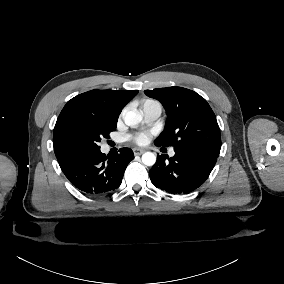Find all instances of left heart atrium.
<instances>
[{
    "mask_svg": "<svg viewBox=\"0 0 284 284\" xmlns=\"http://www.w3.org/2000/svg\"><path fill=\"white\" fill-rule=\"evenodd\" d=\"M131 139L138 145H144L149 140V134L141 132L131 137Z\"/></svg>",
    "mask_w": 284,
    "mask_h": 284,
    "instance_id": "1",
    "label": "left heart atrium"
}]
</instances>
